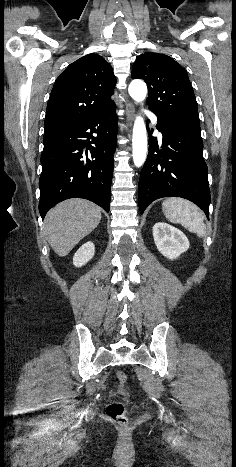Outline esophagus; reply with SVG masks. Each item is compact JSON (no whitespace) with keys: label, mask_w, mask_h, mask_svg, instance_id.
Listing matches in <instances>:
<instances>
[{"label":"esophagus","mask_w":236,"mask_h":467,"mask_svg":"<svg viewBox=\"0 0 236 467\" xmlns=\"http://www.w3.org/2000/svg\"><path fill=\"white\" fill-rule=\"evenodd\" d=\"M126 116L129 122H132L134 120V116H135L134 105L132 104V102H129V101L126 104Z\"/></svg>","instance_id":"esophagus-1"}]
</instances>
